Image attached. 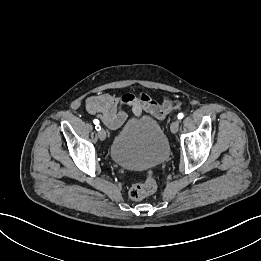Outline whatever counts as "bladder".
<instances>
[{
  "label": "bladder",
  "instance_id": "31cf9c89",
  "mask_svg": "<svg viewBox=\"0 0 261 261\" xmlns=\"http://www.w3.org/2000/svg\"><path fill=\"white\" fill-rule=\"evenodd\" d=\"M169 152L163 128L148 116L130 120L114 137L109 150L113 163L129 170L158 166L166 161Z\"/></svg>",
  "mask_w": 261,
  "mask_h": 261
}]
</instances>
